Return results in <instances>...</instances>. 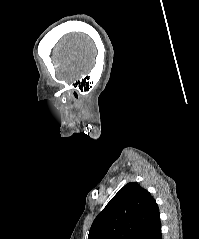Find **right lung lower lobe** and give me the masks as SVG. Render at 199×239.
I'll list each match as a JSON object with an SVG mask.
<instances>
[{"label":"right lung lower lobe","mask_w":199,"mask_h":239,"mask_svg":"<svg viewBox=\"0 0 199 239\" xmlns=\"http://www.w3.org/2000/svg\"><path fill=\"white\" fill-rule=\"evenodd\" d=\"M140 239H162L160 219Z\"/></svg>","instance_id":"right-lung-lower-lobe-1"}]
</instances>
